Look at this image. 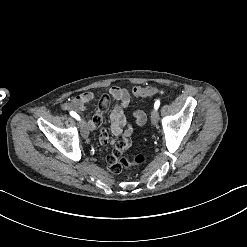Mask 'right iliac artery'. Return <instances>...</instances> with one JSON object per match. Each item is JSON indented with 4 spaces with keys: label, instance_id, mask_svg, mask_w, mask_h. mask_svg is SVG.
<instances>
[{
    "label": "right iliac artery",
    "instance_id": "82829eb1",
    "mask_svg": "<svg viewBox=\"0 0 247 247\" xmlns=\"http://www.w3.org/2000/svg\"><path fill=\"white\" fill-rule=\"evenodd\" d=\"M70 115H71L72 117H74L75 119L80 120V116H79L76 112L71 111V112H70Z\"/></svg>",
    "mask_w": 247,
    "mask_h": 247
}]
</instances>
